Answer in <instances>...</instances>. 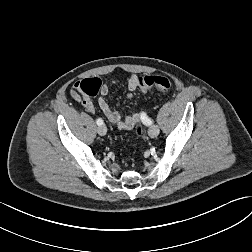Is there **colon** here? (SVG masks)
Wrapping results in <instances>:
<instances>
[{"label":"colon","mask_w":252,"mask_h":252,"mask_svg":"<svg viewBox=\"0 0 252 252\" xmlns=\"http://www.w3.org/2000/svg\"><path fill=\"white\" fill-rule=\"evenodd\" d=\"M138 87L142 91L148 88L154 87L160 91H167L171 87V83L168 78L164 76H145L138 77L137 79ZM103 83L99 78H87L80 82L81 91L89 96H96L101 90ZM135 133L141 135L142 129L140 124L135 125Z\"/></svg>","instance_id":"colon-1"}]
</instances>
